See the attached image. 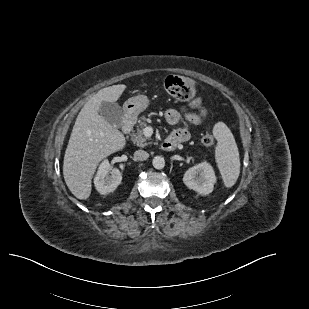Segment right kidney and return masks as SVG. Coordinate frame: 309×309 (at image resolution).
I'll list each match as a JSON object with an SVG mask.
<instances>
[{"instance_id":"right-kidney-1","label":"right kidney","mask_w":309,"mask_h":309,"mask_svg":"<svg viewBox=\"0 0 309 309\" xmlns=\"http://www.w3.org/2000/svg\"><path fill=\"white\" fill-rule=\"evenodd\" d=\"M122 175L119 169L113 168L107 160H104L94 178V184L100 194L113 192L121 183Z\"/></svg>"}]
</instances>
